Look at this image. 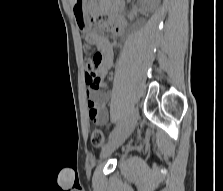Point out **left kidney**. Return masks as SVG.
<instances>
[{
	"instance_id": "5707ae66",
	"label": "left kidney",
	"mask_w": 223,
	"mask_h": 191,
	"mask_svg": "<svg viewBox=\"0 0 223 191\" xmlns=\"http://www.w3.org/2000/svg\"><path fill=\"white\" fill-rule=\"evenodd\" d=\"M157 2L158 0H142L141 7L146 11H150L155 7Z\"/></svg>"
}]
</instances>
